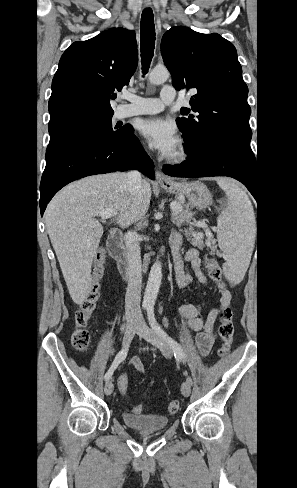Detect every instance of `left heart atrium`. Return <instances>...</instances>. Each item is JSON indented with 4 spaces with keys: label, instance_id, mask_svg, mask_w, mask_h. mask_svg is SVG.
<instances>
[{
    "label": "left heart atrium",
    "instance_id": "1",
    "mask_svg": "<svg viewBox=\"0 0 297 488\" xmlns=\"http://www.w3.org/2000/svg\"><path fill=\"white\" fill-rule=\"evenodd\" d=\"M140 132L163 156L172 155L178 147L177 129L170 120L161 117L146 119L140 124Z\"/></svg>",
    "mask_w": 297,
    "mask_h": 488
}]
</instances>
